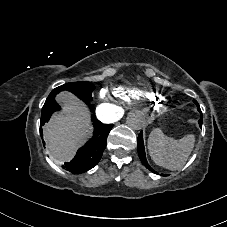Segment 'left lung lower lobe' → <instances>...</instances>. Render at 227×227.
Segmentation results:
<instances>
[{"instance_id": "0a47b994", "label": "left lung lower lobe", "mask_w": 227, "mask_h": 227, "mask_svg": "<svg viewBox=\"0 0 227 227\" xmlns=\"http://www.w3.org/2000/svg\"><path fill=\"white\" fill-rule=\"evenodd\" d=\"M199 125L202 127V120H199ZM137 149H138V155L142 162V164L149 170H151L153 173H156L150 165L147 163L146 155H145V149H144V143H143V135L142 132L139 133L137 138Z\"/></svg>"}]
</instances>
